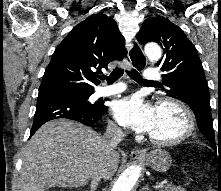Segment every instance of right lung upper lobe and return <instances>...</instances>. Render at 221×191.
I'll use <instances>...</instances> for the list:
<instances>
[{"mask_svg": "<svg viewBox=\"0 0 221 191\" xmlns=\"http://www.w3.org/2000/svg\"><path fill=\"white\" fill-rule=\"evenodd\" d=\"M124 37L114 19L93 14L75 26L55 49L39 91L94 90L102 68L127 54Z\"/></svg>", "mask_w": 221, "mask_h": 191, "instance_id": "cb5924a9", "label": "right lung upper lobe"}]
</instances>
